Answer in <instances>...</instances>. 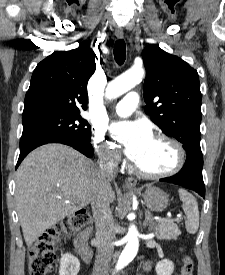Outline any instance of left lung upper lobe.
I'll return each mask as SVG.
<instances>
[{"mask_svg":"<svg viewBox=\"0 0 225 275\" xmlns=\"http://www.w3.org/2000/svg\"><path fill=\"white\" fill-rule=\"evenodd\" d=\"M146 68L145 113L166 134L183 144L186 153L201 151V92L195 69L158 45L142 52Z\"/></svg>","mask_w":225,"mask_h":275,"instance_id":"5c2ea615","label":"left lung upper lobe"}]
</instances>
